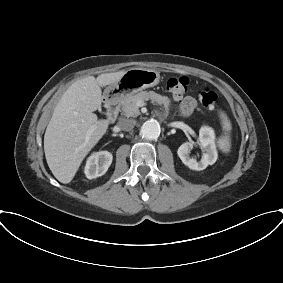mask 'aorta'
Listing matches in <instances>:
<instances>
[{
	"label": "aorta",
	"mask_w": 283,
	"mask_h": 283,
	"mask_svg": "<svg viewBox=\"0 0 283 283\" xmlns=\"http://www.w3.org/2000/svg\"><path fill=\"white\" fill-rule=\"evenodd\" d=\"M141 135L148 140H155L160 135V126L156 121H147L143 124L140 131Z\"/></svg>",
	"instance_id": "1"
}]
</instances>
